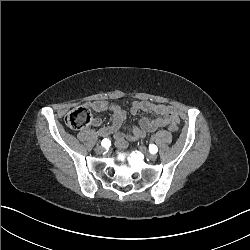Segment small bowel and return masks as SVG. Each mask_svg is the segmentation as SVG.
I'll use <instances>...</instances> for the list:
<instances>
[{
	"label": "small bowel",
	"instance_id": "small-bowel-1",
	"mask_svg": "<svg viewBox=\"0 0 250 250\" xmlns=\"http://www.w3.org/2000/svg\"><path fill=\"white\" fill-rule=\"evenodd\" d=\"M88 107L95 112L110 111L112 114V123L108 126H102V120L95 118L92 126L98 128V135L102 138L113 135L117 148H124L127 140L141 139L148 132H153L159 128L167 127L170 123L179 125V116L175 108L168 104H153L150 102H134L131 106V113L137 114L140 110L154 113L155 118L144 117L140 120L139 126L132 127L127 133L121 132L120 128L125 120V111L114 104L106 101H92Z\"/></svg>",
	"mask_w": 250,
	"mask_h": 250
}]
</instances>
